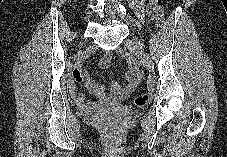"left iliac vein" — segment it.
Here are the masks:
<instances>
[{"label":"left iliac vein","instance_id":"obj_1","mask_svg":"<svg viewBox=\"0 0 227 157\" xmlns=\"http://www.w3.org/2000/svg\"><path fill=\"white\" fill-rule=\"evenodd\" d=\"M125 45L140 59L143 66L148 71H153V62L148 55V53L144 50L142 43L137 39L133 38L131 40H125Z\"/></svg>","mask_w":227,"mask_h":157}]
</instances>
